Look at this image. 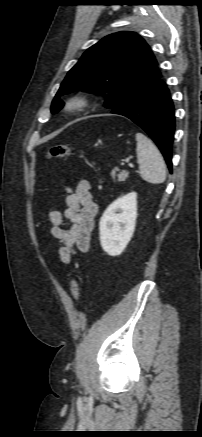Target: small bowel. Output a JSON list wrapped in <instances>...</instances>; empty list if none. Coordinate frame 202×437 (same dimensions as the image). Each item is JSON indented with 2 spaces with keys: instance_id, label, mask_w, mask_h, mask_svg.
<instances>
[{
  "instance_id": "obj_1",
  "label": "small bowel",
  "mask_w": 202,
  "mask_h": 437,
  "mask_svg": "<svg viewBox=\"0 0 202 437\" xmlns=\"http://www.w3.org/2000/svg\"><path fill=\"white\" fill-rule=\"evenodd\" d=\"M64 190L66 208L63 212L51 209L47 217L51 235L60 242L59 258L62 263L70 264L74 256L85 253L90 248L98 205L93 201L88 180H80L75 188L65 186Z\"/></svg>"
}]
</instances>
